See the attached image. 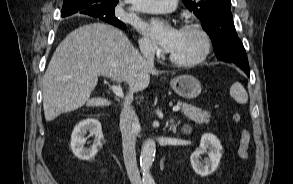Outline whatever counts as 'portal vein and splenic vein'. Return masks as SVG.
Returning <instances> with one entry per match:
<instances>
[{"instance_id":"portal-vein-and-splenic-vein-1","label":"portal vein and splenic vein","mask_w":293,"mask_h":184,"mask_svg":"<svg viewBox=\"0 0 293 184\" xmlns=\"http://www.w3.org/2000/svg\"><path fill=\"white\" fill-rule=\"evenodd\" d=\"M111 90L118 97H120V98L124 97V93L122 91V88H121L120 84L119 85H112ZM180 109H181V107L178 106V105L173 107L174 112H178Z\"/></svg>"}]
</instances>
